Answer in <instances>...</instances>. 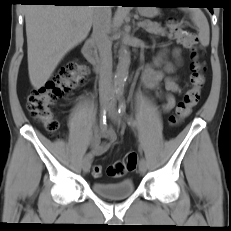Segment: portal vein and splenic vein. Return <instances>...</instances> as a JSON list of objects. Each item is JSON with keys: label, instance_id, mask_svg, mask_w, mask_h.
Listing matches in <instances>:
<instances>
[{"label": "portal vein and splenic vein", "instance_id": "obj_1", "mask_svg": "<svg viewBox=\"0 0 231 231\" xmlns=\"http://www.w3.org/2000/svg\"><path fill=\"white\" fill-rule=\"evenodd\" d=\"M139 26H143L142 22L138 23Z\"/></svg>", "mask_w": 231, "mask_h": 231}]
</instances>
